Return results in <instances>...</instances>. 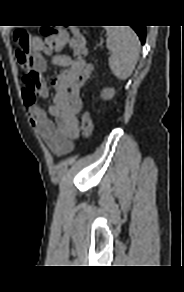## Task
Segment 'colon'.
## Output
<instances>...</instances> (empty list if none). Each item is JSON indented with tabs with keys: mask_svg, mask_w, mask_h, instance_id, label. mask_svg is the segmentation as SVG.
I'll return each instance as SVG.
<instances>
[{
	"mask_svg": "<svg viewBox=\"0 0 184 292\" xmlns=\"http://www.w3.org/2000/svg\"><path fill=\"white\" fill-rule=\"evenodd\" d=\"M41 33L44 37L43 50L46 54H53L61 51L68 43L73 51L74 58L82 59L89 55L86 41L82 33L77 30H71V36L66 30L43 27ZM14 39L22 52H25L30 44V36L24 30H18L14 34ZM93 131V121L88 112H85L81 117V133L87 138Z\"/></svg>",
	"mask_w": 184,
	"mask_h": 292,
	"instance_id": "obj_1",
	"label": "colon"
}]
</instances>
